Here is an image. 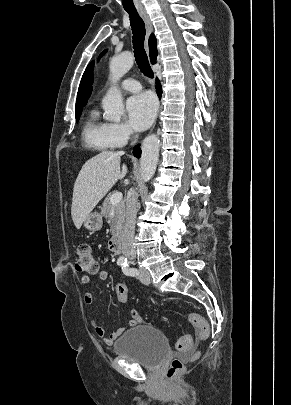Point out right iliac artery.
<instances>
[{"label":"right iliac artery","instance_id":"1","mask_svg":"<svg viewBox=\"0 0 291 405\" xmlns=\"http://www.w3.org/2000/svg\"><path fill=\"white\" fill-rule=\"evenodd\" d=\"M126 263V260H124V259H118V261H117V264L118 265H124Z\"/></svg>","mask_w":291,"mask_h":405}]
</instances>
